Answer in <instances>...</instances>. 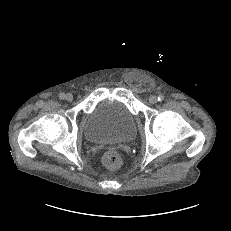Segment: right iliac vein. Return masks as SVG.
Instances as JSON below:
<instances>
[{
	"label": "right iliac vein",
	"mask_w": 231,
	"mask_h": 231,
	"mask_svg": "<svg viewBox=\"0 0 231 231\" xmlns=\"http://www.w3.org/2000/svg\"><path fill=\"white\" fill-rule=\"evenodd\" d=\"M66 100L69 101V102H71V101L73 100V95L70 94V93H68V94L66 95Z\"/></svg>",
	"instance_id": "1"
}]
</instances>
